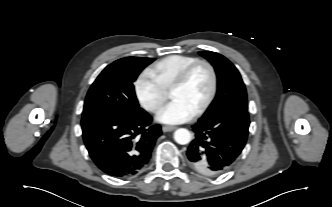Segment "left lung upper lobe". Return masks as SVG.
I'll return each mask as SVG.
<instances>
[{
	"instance_id": "obj_1",
	"label": "left lung upper lobe",
	"mask_w": 332,
	"mask_h": 207,
	"mask_svg": "<svg viewBox=\"0 0 332 207\" xmlns=\"http://www.w3.org/2000/svg\"><path fill=\"white\" fill-rule=\"evenodd\" d=\"M199 54L214 66L218 79L216 97L201 118L209 119L233 109L247 110L246 88L236 67L218 53L201 51Z\"/></svg>"
}]
</instances>
